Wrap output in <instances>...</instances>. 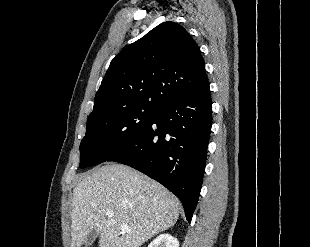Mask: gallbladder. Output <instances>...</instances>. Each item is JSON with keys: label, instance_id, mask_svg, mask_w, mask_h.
<instances>
[{"label": "gallbladder", "instance_id": "bac80fb5", "mask_svg": "<svg viewBox=\"0 0 310 247\" xmlns=\"http://www.w3.org/2000/svg\"><path fill=\"white\" fill-rule=\"evenodd\" d=\"M97 236H98V233H97L96 229H92L89 232V234L87 235V238L84 242L85 247H90L94 243V241L96 240Z\"/></svg>", "mask_w": 310, "mask_h": 247}]
</instances>
